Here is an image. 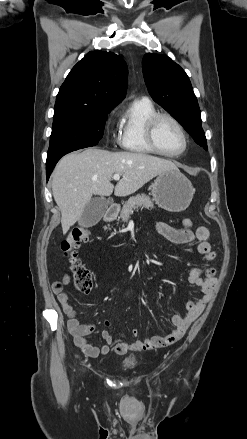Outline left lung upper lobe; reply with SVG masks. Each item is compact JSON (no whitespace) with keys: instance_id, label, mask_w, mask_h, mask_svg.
<instances>
[{"instance_id":"obj_1","label":"left lung upper lobe","mask_w":247,"mask_h":439,"mask_svg":"<svg viewBox=\"0 0 247 439\" xmlns=\"http://www.w3.org/2000/svg\"><path fill=\"white\" fill-rule=\"evenodd\" d=\"M142 70L153 100L175 117L197 144L208 150L198 101L185 71L168 56L152 53L144 56Z\"/></svg>"}]
</instances>
